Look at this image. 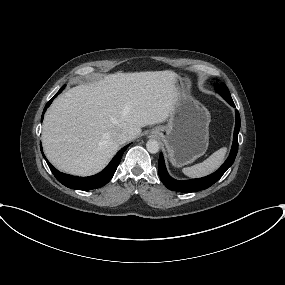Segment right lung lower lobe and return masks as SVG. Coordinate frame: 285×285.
<instances>
[{"label": "right lung lower lobe", "instance_id": "obj_1", "mask_svg": "<svg viewBox=\"0 0 285 285\" xmlns=\"http://www.w3.org/2000/svg\"><path fill=\"white\" fill-rule=\"evenodd\" d=\"M65 86H63L56 94L55 96L46 104L43 114L41 117V121L43 120L44 113L46 109L49 107V105L52 103V100L64 89ZM130 145V144H129ZM129 145H126L123 147L112 159V161L109 163V165L100 173L89 176V177H77L72 176L68 174H64L59 172L57 169H55L51 163L46 159L45 155L43 154L42 146L40 145V149L42 152L43 157L45 158L50 170L52 171L53 175L56 177V179L62 183L64 186L71 188V189H77V190H91L96 189L104 186L107 184L111 178L113 177L120 160L122 158L123 153L125 150L129 147Z\"/></svg>", "mask_w": 285, "mask_h": 285}]
</instances>
